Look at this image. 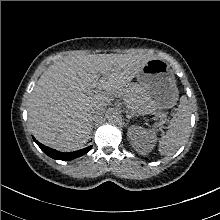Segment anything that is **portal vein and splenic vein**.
Returning a JSON list of instances; mask_svg holds the SVG:
<instances>
[{"mask_svg":"<svg viewBox=\"0 0 220 220\" xmlns=\"http://www.w3.org/2000/svg\"><path fill=\"white\" fill-rule=\"evenodd\" d=\"M99 76H100V75H98V77H99ZM93 92H97V91L94 90Z\"/></svg>","mask_w":220,"mask_h":220,"instance_id":"18ae733b","label":"portal vein and splenic vein"}]
</instances>
